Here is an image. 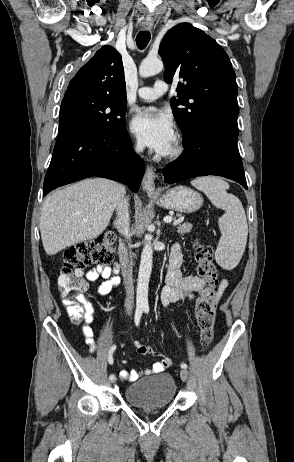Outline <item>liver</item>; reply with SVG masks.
<instances>
[{
  "label": "liver",
  "mask_w": 294,
  "mask_h": 462,
  "mask_svg": "<svg viewBox=\"0 0 294 462\" xmlns=\"http://www.w3.org/2000/svg\"><path fill=\"white\" fill-rule=\"evenodd\" d=\"M124 195L122 184L93 178L47 197L40 217L41 239L46 254L55 255L66 247L99 236Z\"/></svg>",
  "instance_id": "1"
}]
</instances>
